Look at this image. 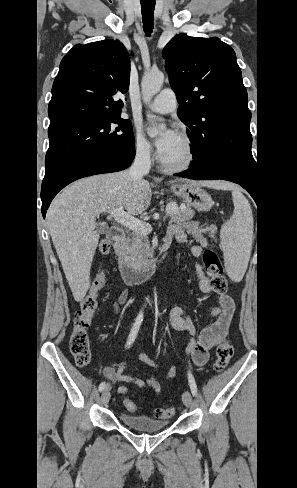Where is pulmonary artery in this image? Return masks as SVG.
<instances>
[{"instance_id":"obj_1","label":"pulmonary artery","mask_w":297,"mask_h":488,"mask_svg":"<svg viewBox=\"0 0 297 488\" xmlns=\"http://www.w3.org/2000/svg\"><path fill=\"white\" fill-rule=\"evenodd\" d=\"M176 96L172 89H164L160 94L155 97L153 102L149 105V109L160 113L166 114L176 109Z\"/></svg>"}]
</instances>
